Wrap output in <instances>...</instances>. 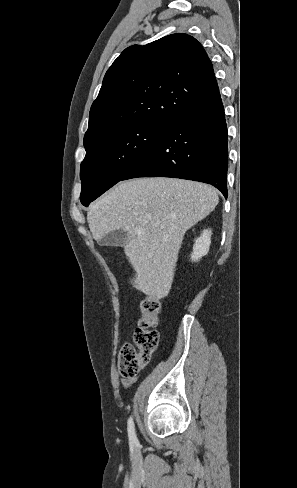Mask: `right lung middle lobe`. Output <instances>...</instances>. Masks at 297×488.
<instances>
[{
  "instance_id": "dd1d6c3e",
  "label": "right lung middle lobe",
  "mask_w": 297,
  "mask_h": 488,
  "mask_svg": "<svg viewBox=\"0 0 297 488\" xmlns=\"http://www.w3.org/2000/svg\"><path fill=\"white\" fill-rule=\"evenodd\" d=\"M170 123L149 121L116 130L88 148L81 163V203L90 202L115 185L143 158Z\"/></svg>"
}]
</instances>
